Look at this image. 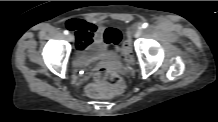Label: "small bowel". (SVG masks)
I'll return each mask as SVG.
<instances>
[{
	"mask_svg": "<svg viewBox=\"0 0 218 122\" xmlns=\"http://www.w3.org/2000/svg\"><path fill=\"white\" fill-rule=\"evenodd\" d=\"M68 29L75 33L76 48L83 52L89 50L92 56L99 55V49L101 46L102 26H96L91 22L80 19H69L66 22ZM126 40L119 48L122 50L125 46Z\"/></svg>",
	"mask_w": 218,
	"mask_h": 122,
	"instance_id": "small-bowel-1",
	"label": "small bowel"
}]
</instances>
